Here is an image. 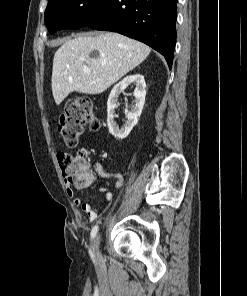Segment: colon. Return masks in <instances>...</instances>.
<instances>
[{
	"instance_id": "1",
	"label": "colon",
	"mask_w": 247,
	"mask_h": 296,
	"mask_svg": "<svg viewBox=\"0 0 247 296\" xmlns=\"http://www.w3.org/2000/svg\"><path fill=\"white\" fill-rule=\"evenodd\" d=\"M85 126L91 130H98L101 126L92 101L87 97L69 101L61 114L58 127L64 144L67 147H75ZM58 162L67 183L85 187L95 180L88 153L84 150L74 155L61 152L58 154Z\"/></svg>"
}]
</instances>
